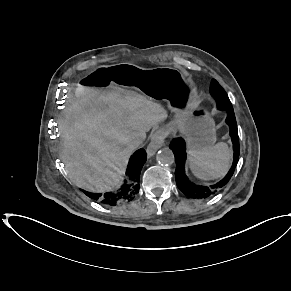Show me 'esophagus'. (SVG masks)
<instances>
[{
    "mask_svg": "<svg viewBox=\"0 0 291 291\" xmlns=\"http://www.w3.org/2000/svg\"><path fill=\"white\" fill-rule=\"evenodd\" d=\"M165 137L166 131L163 129H159L153 134L146 149L148 156H153L156 151L162 147Z\"/></svg>",
    "mask_w": 291,
    "mask_h": 291,
    "instance_id": "obj_1",
    "label": "esophagus"
}]
</instances>
